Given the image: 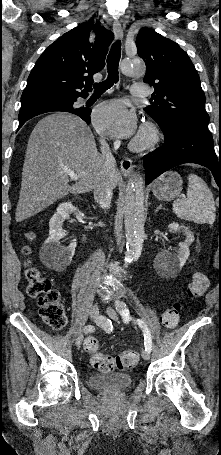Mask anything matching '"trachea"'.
<instances>
[{"label": "trachea", "mask_w": 221, "mask_h": 455, "mask_svg": "<svg viewBox=\"0 0 221 455\" xmlns=\"http://www.w3.org/2000/svg\"><path fill=\"white\" fill-rule=\"evenodd\" d=\"M121 57V42L116 41L107 57L108 77L105 81L94 84L95 93H104L119 81L118 66Z\"/></svg>", "instance_id": "trachea-1"}]
</instances>
